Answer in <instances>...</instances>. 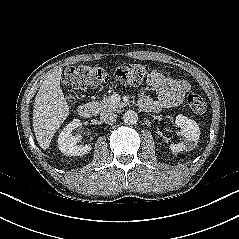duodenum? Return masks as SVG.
<instances>
[{
	"instance_id": "410a0bca",
	"label": "duodenum",
	"mask_w": 239,
	"mask_h": 239,
	"mask_svg": "<svg viewBox=\"0 0 239 239\" xmlns=\"http://www.w3.org/2000/svg\"><path fill=\"white\" fill-rule=\"evenodd\" d=\"M94 112V109H93V106L90 105V104H81L79 107H78V114L82 117V118H85V119H88L92 116Z\"/></svg>"
}]
</instances>
